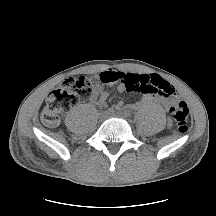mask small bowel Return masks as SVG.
<instances>
[{
    "mask_svg": "<svg viewBox=\"0 0 216 216\" xmlns=\"http://www.w3.org/2000/svg\"><path fill=\"white\" fill-rule=\"evenodd\" d=\"M101 80L106 84H115L117 89L121 92H133L129 88V81H138L139 83H144L146 85L154 86L158 82H166L163 78L155 74H137V73H124L115 71H105L100 74ZM141 92V91H138ZM142 98L141 102L132 105L133 108H138L142 104H149L152 102L162 103L164 106H168L167 98L154 92H141ZM109 93L103 87H100L91 97L90 101L103 105L108 99ZM117 108L121 109L124 107L123 101H119L116 105Z\"/></svg>",
    "mask_w": 216,
    "mask_h": 216,
    "instance_id": "1",
    "label": "small bowel"
}]
</instances>
